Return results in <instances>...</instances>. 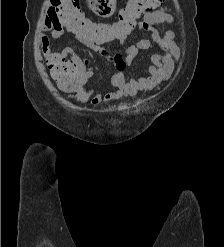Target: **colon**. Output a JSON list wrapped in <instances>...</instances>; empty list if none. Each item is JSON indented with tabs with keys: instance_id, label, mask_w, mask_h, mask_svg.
<instances>
[{
	"instance_id": "colon-1",
	"label": "colon",
	"mask_w": 224,
	"mask_h": 247,
	"mask_svg": "<svg viewBox=\"0 0 224 247\" xmlns=\"http://www.w3.org/2000/svg\"><path fill=\"white\" fill-rule=\"evenodd\" d=\"M166 0H128L119 10L114 22L102 23L89 19L80 9L78 0H52L63 23L76 36L102 42L126 38L136 26V22L146 13L161 8ZM116 68L123 70L124 60L114 57ZM53 79L65 90L77 91L81 101L90 99L86 89L82 87L89 71L82 61L56 57L49 63Z\"/></svg>"
}]
</instances>
